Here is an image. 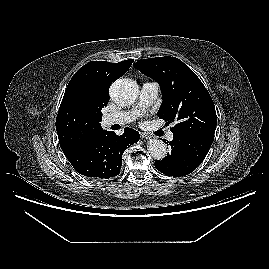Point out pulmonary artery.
<instances>
[{
    "instance_id": "obj_1",
    "label": "pulmonary artery",
    "mask_w": 269,
    "mask_h": 269,
    "mask_svg": "<svg viewBox=\"0 0 269 269\" xmlns=\"http://www.w3.org/2000/svg\"><path fill=\"white\" fill-rule=\"evenodd\" d=\"M159 93V85L156 82H145L143 83L140 95H139V103L138 106L128 112H119L107 114L103 117V123L106 126L112 125H124L132 122L136 119L145 109L151 106ZM167 138L171 140L173 138V133L169 131L167 133Z\"/></svg>"
}]
</instances>
